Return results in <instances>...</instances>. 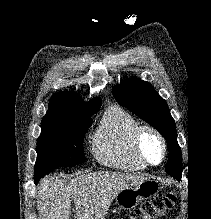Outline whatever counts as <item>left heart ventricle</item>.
Instances as JSON below:
<instances>
[{
	"label": "left heart ventricle",
	"instance_id": "b2bd125f",
	"mask_svg": "<svg viewBox=\"0 0 211 219\" xmlns=\"http://www.w3.org/2000/svg\"><path fill=\"white\" fill-rule=\"evenodd\" d=\"M142 151L145 157L153 163H157L161 158V145L151 134H146L142 140Z\"/></svg>",
	"mask_w": 211,
	"mask_h": 219
}]
</instances>
